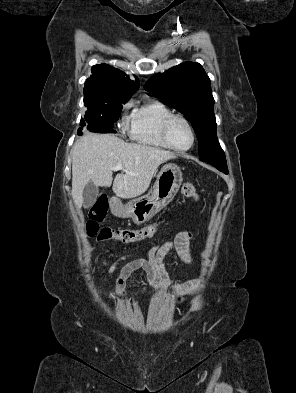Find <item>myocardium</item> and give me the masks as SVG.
I'll use <instances>...</instances> for the list:
<instances>
[{"instance_id": "obj_1", "label": "myocardium", "mask_w": 296, "mask_h": 393, "mask_svg": "<svg viewBox=\"0 0 296 393\" xmlns=\"http://www.w3.org/2000/svg\"><path fill=\"white\" fill-rule=\"evenodd\" d=\"M176 119H179V120H182L183 122H185L186 125L188 126L190 132H191L192 140H191L190 145H189L188 147H186V148H179V147H176V146L171 142V140H170V138H169V128H170V125H171V123H172L174 120H176ZM161 136H162V139H163V141L165 142V144H166L170 149H173V150L178 151V152H186V151H189L190 149L193 148V146L195 145V142H196V132H195V129H194L193 125H192L191 121H190L186 116H184V115H182V114H171V115H169V116L164 120V122H163V124H162V127H161Z\"/></svg>"}]
</instances>
